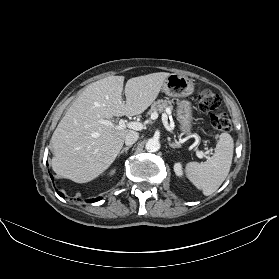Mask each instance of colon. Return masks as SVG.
Masks as SVG:
<instances>
[{"instance_id":"obj_1","label":"colon","mask_w":279,"mask_h":279,"mask_svg":"<svg viewBox=\"0 0 279 279\" xmlns=\"http://www.w3.org/2000/svg\"><path fill=\"white\" fill-rule=\"evenodd\" d=\"M198 106L200 111L209 115L213 127L221 132L231 129V120L227 113L221 111L220 97L210 89H202L198 94Z\"/></svg>"}]
</instances>
